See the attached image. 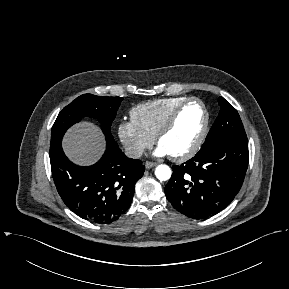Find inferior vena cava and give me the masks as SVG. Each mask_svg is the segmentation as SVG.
<instances>
[{
  "label": "inferior vena cava",
  "instance_id": "602c4592",
  "mask_svg": "<svg viewBox=\"0 0 289 289\" xmlns=\"http://www.w3.org/2000/svg\"><path fill=\"white\" fill-rule=\"evenodd\" d=\"M143 149L139 147L129 146L125 148V154L132 159H138L143 155Z\"/></svg>",
  "mask_w": 289,
  "mask_h": 289
}]
</instances>
